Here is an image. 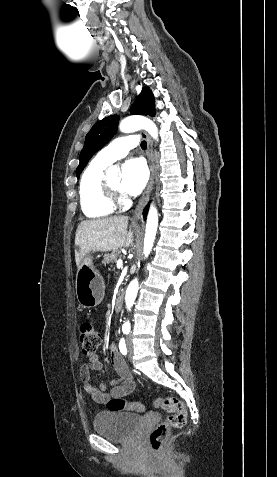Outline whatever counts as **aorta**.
I'll use <instances>...</instances> for the list:
<instances>
[{"label":"aorta","instance_id":"762f6f07","mask_svg":"<svg viewBox=\"0 0 277 477\" xmlns=\"http://www.w3.org/2000/svg\"><path fill=\"white\" fill-rule=\"evenodd\" d=\"M119 128H120V131L124 133H130L140 129H145L154 139L158 137V128L156 124L150 119L142 117V116H131V117L125 118L124 120L121 121ZM117 171L118 169L114 166L109 167L107 170L109 174H116ZM157 227H158V212H157V209L153 205H151L148 216H147L146 230H145V237H144L143 253L145 257H148V255L150 254L152 250L156 233H157ZM138 287H139L138 280L134 279L131 281V283L129 284L127 288L125 303H126L127 310L129 311L131 310L135 302L136 295L138 292ZM123 327L124 328L130 327V322L126 321L123 324Z\"/></svg>","mask_w":277,"mask_h":477}]
</instances>
